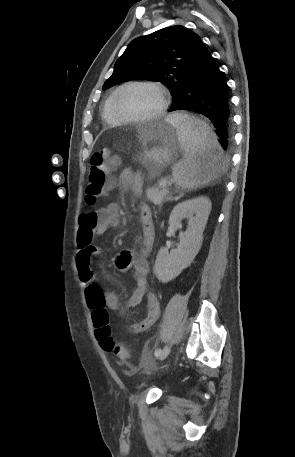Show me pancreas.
Returning a JSON list of instances; mask_svg holds the SVG:
<instances>
[{
  "label": "pancreas",
  "mask_w": 295,
  "mask_h": 457,
  "mask_svg": "<svg viewBox=\"0 0 295 457\" xmlns=\"http://www.w3.org/2000/svg\"><path fill=\"white\" fill-rule=\"evenodd\" d=\"M159 182L157 187L146 190V197L154 204H161L164 200L168 199L169 188L167 186L160 185Z\"/></svg>",
  "instance_id": "cf45deb5"
}]
</instances>
